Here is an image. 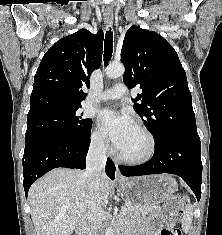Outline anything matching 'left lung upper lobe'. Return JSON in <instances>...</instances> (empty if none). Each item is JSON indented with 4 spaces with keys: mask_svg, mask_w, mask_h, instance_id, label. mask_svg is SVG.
<instances>
[{
    "mask_svg": "<svg viewBox=\"0 0 222 235\" xmlns=\"http://www.w3.org/2000/svg\"><path fill=\"white\" fill-rule=\"evenodd\" d=\"M128 88L140 86L134 109L153 134L155 145L171 136L199 138L191 93L177 52L158 33L132 26L121 50ZM141 101V104L136 101Z\"/></svg>",
    "mask_w": 222,
    "mask_h": 235,
    "instance_id": "1",
    "label": "left lung upper lobe"
}]
</instances>
